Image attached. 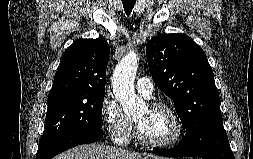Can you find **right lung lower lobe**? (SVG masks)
Listing matches in <instances>:
<instances>
[{
    "instance_id": "obj_1",
    "label": "right lung lower lobe",
    "mask_w": 253,
    "mask_h": 159,
    "mask_svg": "<svg viewBox=\"0 0 253 159\" xmlns=\"http://www.w3.org/2000/svg\"><path fill=\"white\" fill-rule=\"evenodd\" d=\"M102 134V129H85L71 132L38 150L36 159H52L55 155L71 147L95 142L102 136Z\"/></svg>"
}]
</instances>
